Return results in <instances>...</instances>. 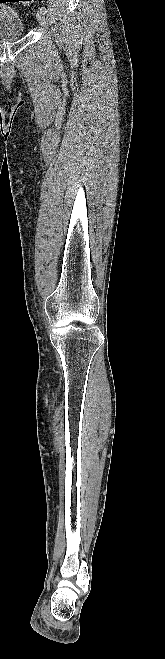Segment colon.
I'll use <instances>...</instances> for the list:
<instances>
[{
  "instance_id": "1",
  "label": "colon",
  "mask_w": 165,
  "mask_h": 659,
  "mask_svg": "<svg viewBox=\"0 0 165 659\" xmlns=\"http://www.w3.org/2000/svg\"><path fill=\"white\" fill-rule=\"evenodd\" d=\"M24 1H32V0H24Z\"/></svg>"
}]
</instances>
